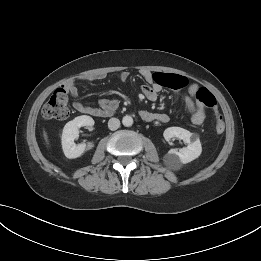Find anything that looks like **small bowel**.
Masks as SVG:
<instances>
[{"label": "small bowel", "instance_id": "obj_1", "mask_svg": "<svg viewBox=\"0 0 261 261\" xmlns=\"http://www.w3.org/2000/svg\"><path fill=\"white\" fill-rule=\"evenodd\" d=\"M141 75L147 81L148 85L142 87V93L144 96L153 101L157 98L158 94L161 92L163 87H169L180 91V89L188 85V79L184 76L175 75V74H164V73H154L149 70H142ZM106 77L105 73L98 72L88 74L83 77L85 81H98ZM129 77V73L124 71L120 74V79L126 81ZM66 92H68L73 97L78 96V88L76 82L71 80L67 82L64 86ZM199 88L197 85L192 84L188 87L187 94H181V98L184 102L185 108L187 111L191 112V121L194 125L199 126L204 122L205 112L204 108L200 106L196 100V94ZM101 108H94L88 106L81 101H75L73 107L80 113L96 115L99 112L109 113L111 112L116 103L111 100L103 99L100 103ZM141 117L146 121H158L161 123H166L169 120L167 114L164 113H153L150 111H141Z\"/></svg>", "mask_w": 261, "mask_h": 261}]
</instances>
